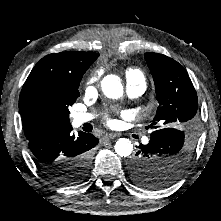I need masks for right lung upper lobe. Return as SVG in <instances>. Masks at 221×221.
<instances>
[{"mask_svg":"<svg viewBox=\"0 0 221 221\" xmlns=\"http://www.w3.org/2000/svg\"><path fill=\"white\" fill-rule=\"evenodd\" d=\"M98 53L90 52H62L53 53L43 57L32 69L25 81L20 98L19 109L22 117L24 133L27 139H30L40 131L70 123H51V124H30L22 113V101L28 91L43 82H64L76 77L79 73L85 71L98 58Z\"/></svg>","mask_w":221,"mask_h":221,"instance_id":"1","label":"right lung upper lobe"}]
</instances>
